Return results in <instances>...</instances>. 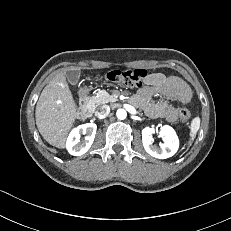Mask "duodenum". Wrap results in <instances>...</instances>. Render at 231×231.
<instances>
[{"label":"duodenum","mask_w":231,"mask_h":231,"mask_svg":"<svg viewBox=\"0 0 231 231\" xmlns=\"http://www.w3.org/2000/svg\"><path fill=\"white\" fill-rule=\"evenodd\" d=\"M92 111V105L87 100V94H81V105L77 109V115L83 117Z\"/></svg>","instance_id":"duodenum-1"}]
</instances>
